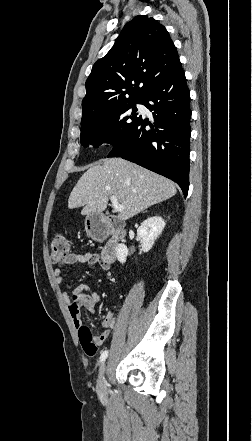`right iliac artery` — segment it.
<instances>
[{
  "label": "right iliac artery",
  "instance_id": "right-iliac-artery-1",
  "mask_svg": "<svg viewBox=\"0 0 252 441\" xmlns=\"http://www.w3.org/2000/svg\"><path fill=\"white\" fill-rule=\"evenodd\" d=\"M107 357H108V351H104L100 356V362L102 363L103 361H105Z\"/></svg>",
  "mask_w": 252,
  "mask_h": 441
}]
</instances>
